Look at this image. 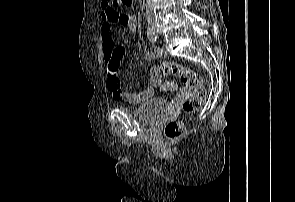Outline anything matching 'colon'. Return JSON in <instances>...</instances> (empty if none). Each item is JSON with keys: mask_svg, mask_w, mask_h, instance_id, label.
I'll list each match as a JSON object with an SVG mask.
<instances>
[{"mask_svg": "<svg viewBox=\"0 0 295 202\" xmlns=\"http://www.w3.org/2000/svg\"><path fill=\"white\" fill-rule=\"evenodd\" d=\"M110 4H121L124 6H131L133 0H108ZM128 21L126 16L121 17V23L126 24ZM150 71H154V75L173 74L178 75L181 82L189 85L192 89L190 98L184 103V111L191 113L198 109L205 100L206 89L204 87L203 79L199 73L188 67L182 66L176 62L165 61L158 66H150ZM177 88L174 81H166L161 89L164 91H173ZM186 133L185 125L182 121H169L164 128V135L169 140H176L182 138Z\"/></svg>", "mask_w": 295, "mask_h": 202, "instance_id": "colon-1", "label": "colon"}]
</instances>
